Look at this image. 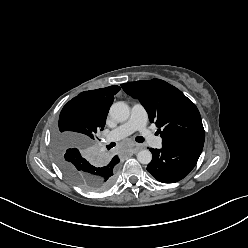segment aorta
<instances>
[{"label":"aorta","instance_id":"762f6f07","mask_svg":"<svg viewBox=\"0 0 248 248\" xmlns=\"http://www.w3.org/2000/svg\"><path fill=\"white\" fill-rule=\"evenodd\" d=\"M109 113L114 120L124 122L129 118L130 108L125 102L120 101L112 104ZM137 160L141 164H149L152 160V154L147 149L141 150L137 154Z\"/></svg>","mask_w":248,"mask_h":248}]
</instances>
